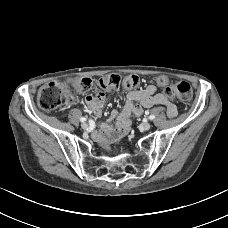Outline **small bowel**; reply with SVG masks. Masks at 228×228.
I'll list each match as a JSON object with an SVG mask.
<instances>
[{
    "mask_svg": "<svg viewBox=\"0 0 228 228\" xmlns=\"http://www.w3.org/2000/svg\"><path fill=\"white\" fill-rule=\"evenodd\" d=\"M85 104L92 115L100 118L102 109L106 102V96L102 92L96 95H87ZM155 105H163L167 109L169 117L177 115L176 106L162 93H159L154 85H147L138 90H131L126 95V102L123 109L111 111L108 118L95 132V137L102 143L110 144L118 142L129 130L131 125L130 117L142 115L144 108H151Z\"/></svg>",
    "mask_w": 228,
    "mask_h": 228,
    "instance_id": "1",
    "label": "small bowel"
}]
</instances>
